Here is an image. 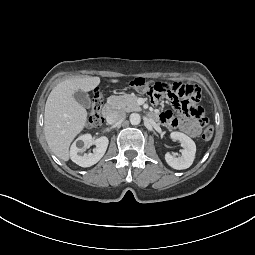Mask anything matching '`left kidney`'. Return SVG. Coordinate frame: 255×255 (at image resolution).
Masks as SVG:
<instances>
[{
  "label": "left kidney",
  "mask_w": 255,
  "mask_h": 255,
  "mask_svg": "<svg viewBox=\"0 0 255 255\" xmlns=\"http://www.w3.org/2000/svg\"><path fill=\"white\" fill-rule=\"evenodd\" d=\"M170 137L173 141H179L183 150L181 157H174L170 153H166L167 164L177 170L189 168L195 159L196 145L194 141L181 132H172Z\"/></svg>",
  "instance_id": "obj_1"
}]
</instances>
